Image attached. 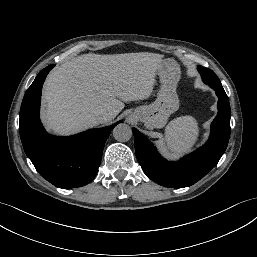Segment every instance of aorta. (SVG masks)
<instances>
[{
  "instance_id": "obj_1",
  "label": "aorta",
  "mask_w": 257,
  "mask_h": 257,
  "mask_svg": "<svg viewBox=\"0 0 257 257\" xmlns=\"http://www.w3.org/2000/svg\"><path fill=\"white\" fill-rule=\"evenodd\" d=\"M113 136L119 142H127L132 137V130L127 124H119L113 129Z\"/></svg>"
}]
</instances>
